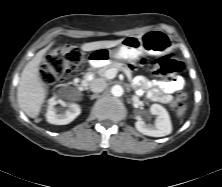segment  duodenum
Here are the masks:
<instances>
[{
  "label": "duodenum",
  "instance_id": "1",
  "mask_svg": "<svg viewBox=\"0 0 222 187\" xmlns=\"http://www.w3.org/2000/svg\"><path fill=\"white\" fill-rule=\"evenodd\" d=\"M93 78V68L90 67L83 76V86Z\"/></svg>",
  "mask_w": 222,
  "mask_h": 187
}]
</instances>
